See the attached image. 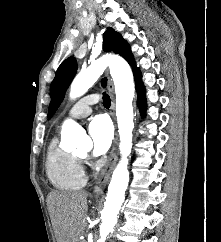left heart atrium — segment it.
<instances>
[{"label": "left heart atrium", "mask_w": 221, "mask_h": 242, "mask_svg": "<svg viewBox=\"0 0 221 242\" xmlns=\"http://www.w3.org/2000/svg\"><path fill=\"white\" fill-rule=\"evenodd\" d=\"M88 132L92 141L93 154H104L110 147L113 139V128L105 116L93 118L88 126Z\"/></svg>", "instance_id": "obj_1"}]
</instances>
